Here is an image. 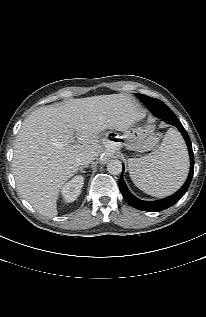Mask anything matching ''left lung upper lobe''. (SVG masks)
I'll use <instances>...</instances> for the list:
<instances>
[{"mask_svg": "<svg viewBox=\"0 0 206 317\" xmlns=\"http://www.w3.org/2000/svg\"><path fill=\"white\" fill-rule=\"evenodd\" d=\"M139 99L146 105V107H148V103L147 102H153L157 105H161V107L163 106H167L165 105L162 101L156 99V98H151L149 96L143 95V94H138Z\"/></svg>", "mask_w": 206, "mask_h": 317, "instance_id": "left-lung-upper-lobe-1", "label": "left lung upper lobe"}]
</instances>
